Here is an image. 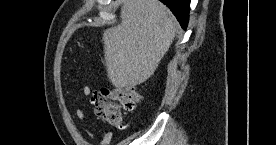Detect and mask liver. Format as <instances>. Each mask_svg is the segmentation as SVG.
Here are the masks:
<instances>
[{
  "instance_id": "obj_1",
  "label": "liver",
  "mask_w": 276,
  "mask_h": 145,
  "mask_svg": "<svg viewBox=\"0 0 276 145\" xmlns=\"http://www.w3.org/2000/svg\"><path fill=\"white\" fill-rule=\"evenodd\" d=\"M120 18L102 36L107 76L116 88L148 80L176 34L171 11L158 0H124Z\"/></svg>"
}]
</instances>
